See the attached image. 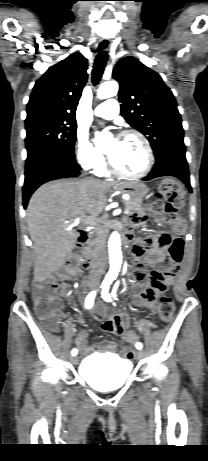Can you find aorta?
<instances>
[{"instance_id":"obj_1","label":"aorta","mask_w":208,"mask_h":461,"mask_svg":"<svg viewBox=\"0 0 208 461\" xmlns=\"http://www.w3.org/2000/svg\"><path fill=\"white\" fill-rule=\"evenodd\" d=\"M119 85L116 81H108L100 85L97 91L99 99H108L117 95ZM108 132H95L94 144L96 148H102L108 139ZM110 268L105 277L106 281L112 282L118 276L122 265L121 241L118 232H113L108 241Z\"/></svg>"}]
</instances>
